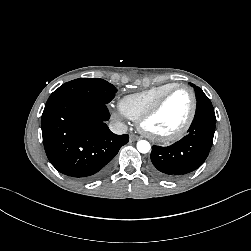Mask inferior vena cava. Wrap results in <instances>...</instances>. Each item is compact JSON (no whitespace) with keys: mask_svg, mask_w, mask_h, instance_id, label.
Masks as SVG:
<instances>
[{"mask_svg":"<svg viewBox=\"0 0 251 251\" xmlns=\"http://www.w3.org/2000/svg\"><path fill=\"white\" fill-rule=\"evenodd\" d=\"M109 129L117 135H122L127 132V125L120 121H113L109 124Z\"/></svg>","mask_w":251,"mask_h":251,"instance_id":"1","label":"inferior vena cava"}]
</instances>
